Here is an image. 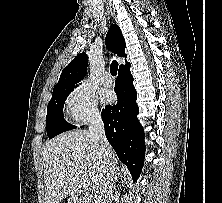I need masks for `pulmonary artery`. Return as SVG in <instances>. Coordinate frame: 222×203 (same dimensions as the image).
Returning a JSON list of instances; mask_svg holds the SVG:
<instances>
[{"label":"pulmonary artery","instance_id":"1","mask_svg":"<svg viewBox=\"0 0 222 203\" xmlns=\"http://www.w3.org/2000/svg\"><path fill=\"white\" fill-rule=\"evenodd\" d=\"M103 86L109 87L112 84V78L109 72H106L101 80Z\"/></svg>","mask_w":222,"mask_h":203}]
</instances>
